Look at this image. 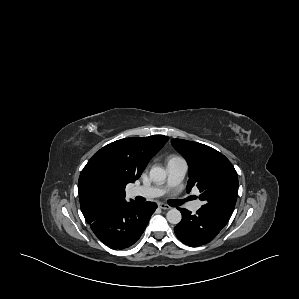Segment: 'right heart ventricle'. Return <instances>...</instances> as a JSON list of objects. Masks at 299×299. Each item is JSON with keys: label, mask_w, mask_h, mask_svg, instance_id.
Segmentation results:
<instances>
[{"label": "right heart ventricle", "mask_w": 299, "mask_h": 299, "mask_svg": "<svg viewBox=\"0 0 299 299\" xmlns=\"http://www.w3.org/2000/svg\"><path fill=\"white\" fill-rule=\"evenodd\" d=\"M173 159H179V157H177V156H171L170 159H169V161L173 160Z\"/></svg>", "instance_id": "obj_1"}]
</instances>
